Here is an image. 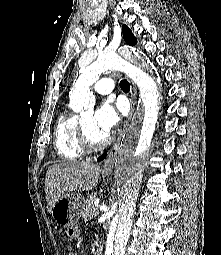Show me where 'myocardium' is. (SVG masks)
<instances>
[{
	"instance_id": "myocardium-1",
	"label": "myocardium",
	"mask_w": 221,
	"mask_h": 255,
	"mask_svg": "<svg viewBox=\"0 0 221 255\" xmlns=\"http://www.w3.org/2000/svg\"><path fill=\"white\" fill-rule=\"evenodd\" d=\"M79 138L83 149L89 153L101 151L110 143V136H106L100 143L93 142L87 134L82 121L79 122Z\"/></svg>"
}]
</instances>
